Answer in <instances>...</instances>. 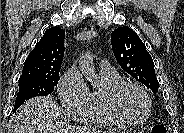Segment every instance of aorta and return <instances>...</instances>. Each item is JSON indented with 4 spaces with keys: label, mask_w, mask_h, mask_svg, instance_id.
Wrapping results in <instances>:
<instances>
[{
    "label": "aorta",
    "mask_w": 184,
    "mask_h": 133,
    "mask_svg": "<svg viewBox=\"0 0 184 133\" xmlns=\"http://www.w3.org/2000/svg\"><path fill=\"white\" fill-rule=\"evenodd\" d=\"M79 70L85 76V78L94 83L96 78V71L93 60L89 54H84L79 57Z\"/></svg>",
    "instance_id": "762f6f07"
}]
</instances>
